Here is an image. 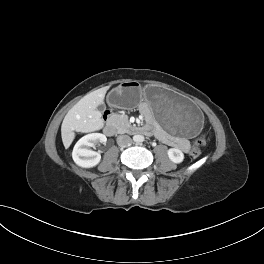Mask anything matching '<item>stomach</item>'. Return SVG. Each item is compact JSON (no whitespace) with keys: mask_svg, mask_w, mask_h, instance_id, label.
<instances>
[{"mask_svg":"<svg viewBox=\"0 0 264 264\" xmlns=\"http://www.w3.org/2000/svg\"><path fill=\"white\" fill-rule=\"evenodd\" d=\"M108 100L112 106L120 108L143 103L165 131L178 136L195 137L203 125L202 113L190 100L158 85L138 88L124 82L114 89Z\"/></svg>","mask_w":264,"mask_h":264,"instance_id":"1","label":"stomach"}]
</instances>
